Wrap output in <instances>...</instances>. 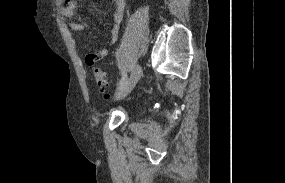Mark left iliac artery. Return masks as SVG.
Returning <instances> with one entry per match:
<instances>
[{"mask_svg":"<svg viewBox=\"0 0 285 183\" xmlns=\"http://www.w3.org/2000/svg\"><path fill=\"white\" fill-rule=\"evenodd\" d=\"M119 56H120L119 50H117V52H116V58H117V60H118L119 68H120L121 71H122V78H121L120 83H119V85H118V87H117V90H120V89L127 83V80H128L127 74L125 73V71H123V69H122L121 66H120Z\"/></svg>","mask_w":285,"mask_h":183,"instance_id":"1","label":"left iliac artery"}]
</instances>
